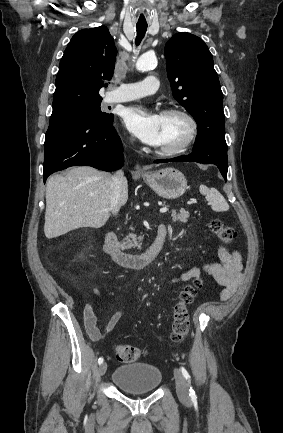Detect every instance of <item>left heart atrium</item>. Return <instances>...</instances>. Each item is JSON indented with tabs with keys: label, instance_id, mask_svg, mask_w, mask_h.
Returning a JSON list of instances; mask_svg holds the SVG:
<instances>
[{
	"label": "left heart atrium",
	"instance_id": "39dd6f15",
	"mask_svg": "<svg viewBox=\"0 0 283 433\" xmlns=\"http://www.w3.org/2000/svg\"><path fill=\"white\" fill-rule=\"evenodd\" d=\"M123 122L143 144L151 150H160L163 143L162 115L141 105L131 106L123 112Z\"/></svg>",
	"mask_w": 283,
	"mask_h": 433
}]
</instances>
